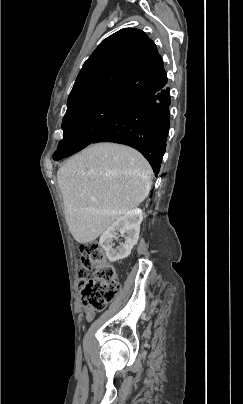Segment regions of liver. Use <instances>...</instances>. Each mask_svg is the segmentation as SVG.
<instances>
[{
    "label": "liver",
    "mask_w": 243,
    "mask_h": 404,
    "mask_svg": "<svg viewBox=\"0 0 243 404\" xmlns=\"http://www.w3.org/2000/svg\"><path fill=\"white\" fill-rule=\"evenodd\" d=\"M151 166L133 148L92 144L57 172L66 224L76 242L99 238L119 216L137 208L151 188Z\"/></svg>",
    "instance_id": "6515ba94"
}]
</instances>
